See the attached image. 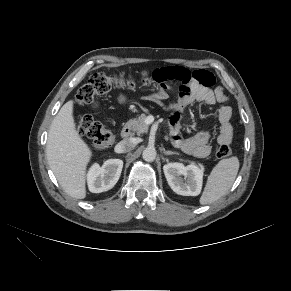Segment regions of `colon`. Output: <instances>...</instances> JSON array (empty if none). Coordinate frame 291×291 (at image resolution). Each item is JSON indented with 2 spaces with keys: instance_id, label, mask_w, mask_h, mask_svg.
<instances>
[{
  "instance_id": "5ec220e1",
  "label": "colon",
  "mask_w": 291,
  "mask_h": 291,
  "mask_svg": "<svg viewBox=\"0 0 291 291\" xmlns=\"http://www.w3.org/2000/svg\"><path fill=\"white\" fill-rule=\"evenodd\" d=\"M201 80L206 77L199 75ZM164 82L155 71H143L138 76H133L123 72L108 75L105 73L93 74L88 82L84 84L76 95L77 105L83 106L91 103L96 96L109 93L113 89H129L136 84L150 85L152 83ZM171 85V84H170ZM77 129L80 134L92 141L97 149L109 146L113 141V134L91 115H81L77 118ZM232 155V149L226 145H220L216 150V156L220 159L228 158Z\"/></svg>"
}]
</instances>
